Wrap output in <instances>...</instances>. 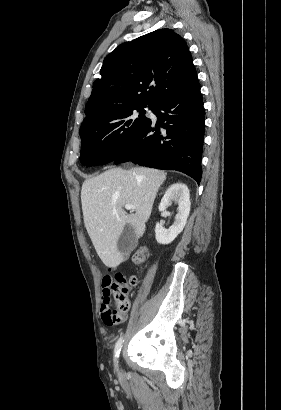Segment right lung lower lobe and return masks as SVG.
<instances>
[{"mask_svg": "<svg viewBox=\"0 0 281 410\" xmlns=\"http://www.w3.org/2000/svg\"><path fill=\"white\" fill-rule=\"evenodd\" d=\"M158 117L113 162L181 171L199 183L204 136V107L200 85L163 97L152 107Z\"/></svg>", "mask_w": 281, "mask_h": 410, "instance_id": "98d812e1", "label": "right lung lower lobe"}]
</instances>
